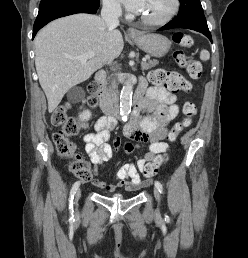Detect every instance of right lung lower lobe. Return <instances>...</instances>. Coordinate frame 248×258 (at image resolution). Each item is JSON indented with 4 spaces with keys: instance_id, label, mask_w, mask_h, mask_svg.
Instances as JSON below:
<instances>
[{
    "instance_id": "obj_1",
    "label": "right lung lower lobe",
    "mask_w": 248,
    "mask_h": 258,
    "mask_svg": "<svg viewBox=\"0 0 248 258\" xmlns=\"http://www.w3.org/2000/svg\"><path fill=\"white\" fill-rule=\"evenodd\" d=\"M99 0H69L47 5L39 9L33 27V37L50 21L75 13L95 14L99 8Z\"/></svg>"
}]
</instances>
